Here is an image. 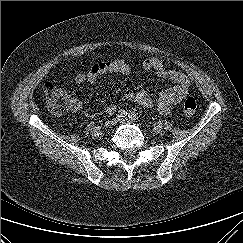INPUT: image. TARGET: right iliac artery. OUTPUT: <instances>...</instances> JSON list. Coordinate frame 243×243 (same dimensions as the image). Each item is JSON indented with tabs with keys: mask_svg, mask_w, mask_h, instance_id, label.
<instances>
[{
	"mask_svg": "<svg viewBox=\"0 0 243 243\" xmlns=\"http://www.w3.org/2000/svg\"><path fill=\"white\" fill-rule=\"evenodd\" d=\"M128 112L125 111V110H120L117 114V118L118 119H122V118H125L127 116Z\"/></svg>",
	"mask_w": 243,
	"mask_h": 243,
	"instance_id": "82829eb1",
	"label": "right iliac artery"
}]
</instances>
